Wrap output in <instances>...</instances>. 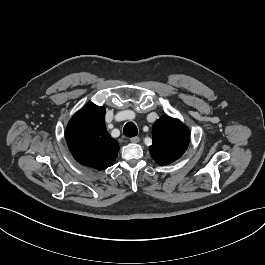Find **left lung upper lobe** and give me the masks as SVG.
<instances>
[{"instance_id": "5c2ea615", "label": "left lung upper lobe", "mask_w": 265, "mask_h": 265, "mask_svg": "<svg viewBox=\"0 0 265 265\" xmlns=\"http://www.w3.org/2000/svg\"><path fill=\"white\" fill-rule=\"evenodd\" d=\"M152 138L151 156L156 163L164 166L182 156L188 147L190 133L178 119L163 116L154 124Z\"/></svg>"}]
</instances>
